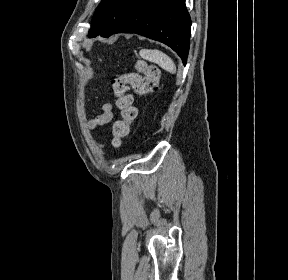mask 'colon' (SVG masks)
<instances>
[{
	"label": "colon",
	"mask_w": 288,
	"mask_h": 280,
	"mask_svg": "<svg viewBox=\"0 0 288 280\" xmlns=\"http://www.w3.org/2000/svg\"><path fill=\"white\" fill-rule=\"evenodd\" d=\"M134 72L118 75L111 80V91L116 97V106L120 111L121 119L113 125V146H122L123 139L128 135L130 126L136 118V108L129 89L145 95L153 93L158 88L160 70L154 64L138 59L134 63Z\"/></svg>",
	"instance_id": "5ec220e1"
}]
</instances>
